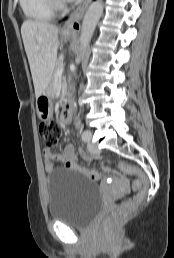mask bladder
<instances>
[{
	"label": "bladder",
	"mask_w": 174,
	"mask_h": 258,
	"mask_svg": "<svg viewBox=\"0 0 174 258\" xmlns=\"http://www.w3.org/2000/svg\"><path fill=\"white\" fill-rule=\"evenodd\" d=\"M49 216L73 227H87L100 213L103 197L86 175L72 169H55L47 179Z\"/></svg>",
	"instance_id": "31cf9c89"
}]
</instances>
